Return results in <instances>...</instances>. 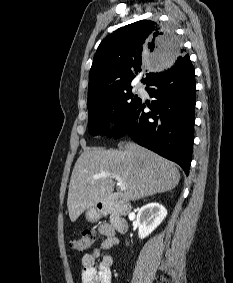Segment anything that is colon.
I'll return each instance as SVG.
<instances>
[{"instance_id": "colon-1", "label": "colon", "mask_w": 233, "mask_h": 283, "mask_svg": "<svg viewBox=\"0 0 233 283\" xmlns=\"http://www.w3.org/2000/svg\"><path fill=\"white\" fill-rule=\"evenodd\" d=\"M96 233L94 229H86L77 238L71 241L70 246L78 252H84L91 247L95 241Z\"/></svg>"}]
</instances>
